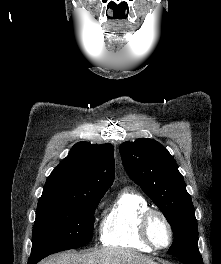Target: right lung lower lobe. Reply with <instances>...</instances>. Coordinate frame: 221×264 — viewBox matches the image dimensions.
Returning a JSON list of instances; mask_svg holds the SVG:
<instances>
[{"mask_svg":"<svg viewBox=\"0 0 221 264\" xmlns=\"http://www.w3.org/2000/svg\"><path fill=\"white\" fill-rule=\"evenodd\" d=\"M42 258H30L28 261V264H36L38 261H40Z\"/></svg>","mask_w":221,"mask_h":264,"instance_id":"1","label":"right lung lower lobe"}]
</instances>
